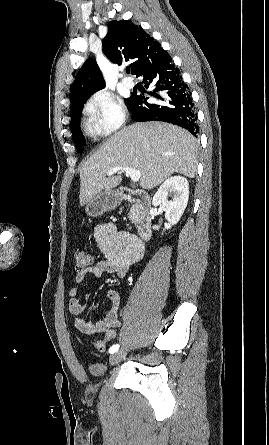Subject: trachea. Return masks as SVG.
<instances>
[{
	"label": "trachea",
	"mask_w": 269,
	"mask_h": 445,
	"mask_svg": "<svg viewBox=\"0 0 269 445\" xmlns=\"http://www.w3.org/2000/svg\"><path fill=\"white\" fill-rule=\"evenodd\" d=\"M126 73H130V68H126Z\"/></svg>",
	"instance_id": "obj_1"
}]
</instances>
